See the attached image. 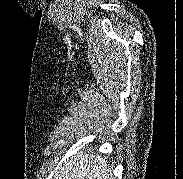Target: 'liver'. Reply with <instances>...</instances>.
<instances>
[{"instance_id":"liver-1","label":"liver","mask_w":183,"mask_h":179,"mask_svg":"<svg viewBox=\"0 0 183 179\" xmlns=\"http://www.w3.org/2000/svg\"><path fill=\"white\" fill-rule=\"evenodd\" d=\"M54 179H113V176L105 158L81 151L65 160Z\"/></svg>"}]
</instances>
